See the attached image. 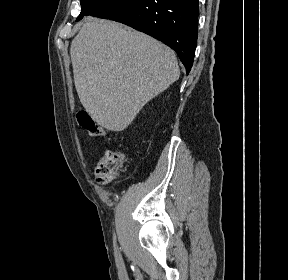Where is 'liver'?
I'll use <instances>...</instances> for the list:
<instances>
[{
    "instance_id": "6515ba94",
    "label": "liver",
    "mask_w": 288,
    "mask_h": 280,
    "mask_svg": "<svg viewBox=\"0 0 288 280\" xmlns=\"http://www.w3.org/2000/svg\"><path fill=\"white\" fill-rule=\"evenodd\" d=\"M70 55L81 103L111 131L126 129L180 75L170 48L113 21L88 18L71 43Z\"/></svg>"
}]
</instances>
